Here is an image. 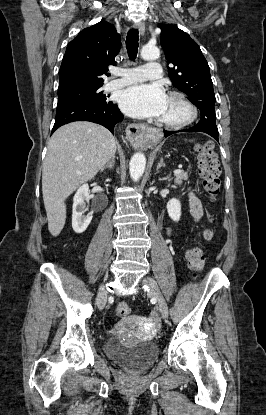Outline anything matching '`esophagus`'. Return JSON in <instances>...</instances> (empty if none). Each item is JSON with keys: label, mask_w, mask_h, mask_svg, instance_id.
<instances>
[{"label": "esophagus", "mask_w": 266, "mask_h": 415, "mask_svg": "<svg viewBox=\"0 0 266 415\" xmlns=\"http://www.w3.org/2000/svg\"><path fill=\"white\" fill-rule=\"evenodd\" d=\"M135 28L139 30L140 36H143L145 33L144 23L135 24ZM148 130V127L142 124H131L128 126L126 133L128 141L133 146H140L145 143V134Z\"/></svg>", "instance_id": "esophagus-1"}]
</instances>
